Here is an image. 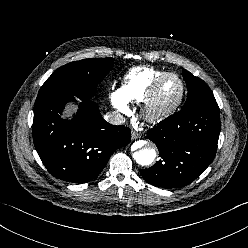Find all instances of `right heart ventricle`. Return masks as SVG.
I'll use <instances>...</instances> for the list:
<instances>
[{
    "mask_svg": "<svg viewBox=\"0 0 248 248\" xmlns=\"http://www.w3.org/2000/svg\"><path fill=\"white\" fill-rule=\"evenodd\" d=\"M165 73L149 66L135 67L125 75L121 91L128 102H143L155 81Z\"/></svg>",
    "mask_w": 248,
    "mask_h": 248,
    "instance_id": "e07e8e85",
    "label": "right heart ventricle"
}]
</instances>
